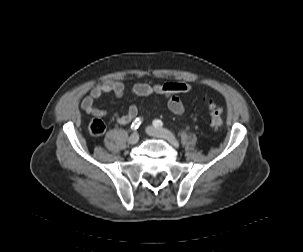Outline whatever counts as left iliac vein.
Masks as SVG:
<instances>
[{"label": "left iliac vein", "instance_id": "1", "mask_svg": "<svg viewBox=\"0 0 303 252\" xmlns=\"http://www.w3.org/2000/svg\"><path fill=\"white\" fill-rule=\"evenodd\" d=\"M147 133L150 136L165 139L175 147L179 146V143L176 140V138L174 137V135L170 131H168L164 128H156V127H153V126H148L147 127Z\"/></svg>", "mask_w": 303, "mask_h": 252}]
</instances>
